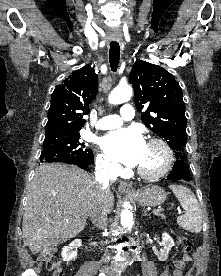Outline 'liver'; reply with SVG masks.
Instances as JSON below:
<instances>
[{"label": "liver", "instance_id": "obj_1", "mask_svg": "<svg viewBox=\"0 0 221 276\" xmlns=\"http://www.w3.org/2000/svg\"><path fill=\"white\" fill-rule=\"evenodd\" d=\"M100 186L74 165L42 164L30 183L22 224L23 243L33 254L74 238L85 227ZM103 199L110 213L114 195L106 189Z\"/></svg>", "mask_w": 221, "mask_h": 276}]
</instances>
